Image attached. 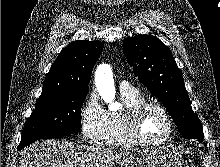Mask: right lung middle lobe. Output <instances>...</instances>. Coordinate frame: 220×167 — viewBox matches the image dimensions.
<instances>
[{
  "label": "right lung middle lobe",
  "instance_id": "dd1d6c3e",
  "mask_svg": "<svg viewBox=\"0 0 220 167\" xmlns=\"http://www.w3.org/2000/svg\"><path fill=\"white\" fill-rule=\"evenodd\" d=\"M88 89L67 90L38 99L24 125L18 150L44 138H59L80 131V112Z\"/></svg>",
  "mask_w": 220,
  "mask_h": 167
}]
</instances>
